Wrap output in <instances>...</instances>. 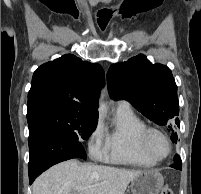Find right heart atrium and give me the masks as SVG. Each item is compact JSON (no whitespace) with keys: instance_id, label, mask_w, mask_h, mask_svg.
Listing matches in <instances>:
<instances>
[{"instance_id":"right-heart-atrium-1","label":"right heart atrium","mask_w":201,"mask_h":194,"mask_svg":"<svg viewBox=\"0 0 201 194\" xmlns=\"http://www.w3.org/2000/svg\"><path fill=\"white\" fill-rule=\"evenodd\" d=\"M103 129L102 125L98 123L88 138L89 150L94 156H99L103 149Z\"/></svg>"}]
</instances>
